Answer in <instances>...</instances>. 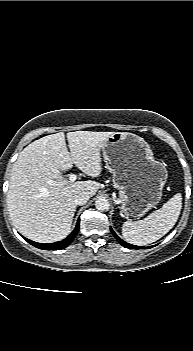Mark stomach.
<instances>
[{"label": "stomach", "mask_w": 193, "mask_h": 351, "mask_svg": "<svg viewBox=\"0 0 193 351\" xmlns=\"http://www.w3.org/2000/svg\"><path fill=\"white\" fill-rule=\"evenodd\" d=\"M102 151L106 167L119 190L120 211L124 216L142 217L160 202L167 169L155 160L143 138L128 132H115Z\"/></svg>", "instance_id": "1"}]
</instances>
